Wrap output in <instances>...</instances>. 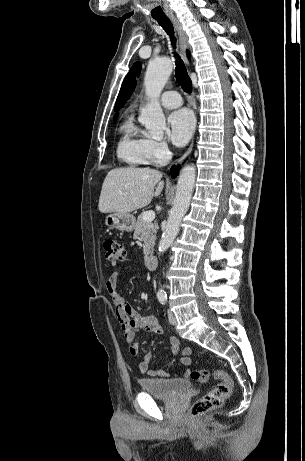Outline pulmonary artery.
<instances>
[{
  "label": "pulmonary artery",
  "instance_id": "pulmonary-artery-1",
  "mask_svg": "<svg viewBox=\"0 0 305 461\" xmlns=\"http://www.w3.org/2000/svg\"><path fill=\"white\" fill-rule=\"evenodd\" d=\"M161 104L169 109L177 108L182 105V99L176 91H165L161 98Z\"/></svg>",
  "mask_w": 305,
  "mask_h": 461
}]
</instances>
